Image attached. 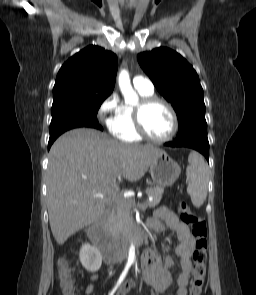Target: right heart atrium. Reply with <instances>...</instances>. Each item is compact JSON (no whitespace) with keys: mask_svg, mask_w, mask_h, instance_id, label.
<instances>
[{"mask_svg":"<svg viewBox=\"0 0 256 295\" xmlns=\"http://www.w3.org/2000/svg\"><path fill=\"white\" fill-rule=\"evenodd\" d=\"M121 106L119 97L115 92L104 99L99 106L98 115L110 130L120 120Z\"/></svg>","mask_w":256,"mask_h":295,"instance_id":"d8ad5b80","label":"right heart atrium"}]
</instances>
